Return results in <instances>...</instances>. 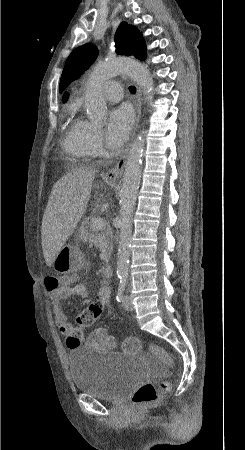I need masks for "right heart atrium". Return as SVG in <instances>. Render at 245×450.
<instances>
[{"instance_id":"obj_1","label":"right heart atrium","mask_w":245,"mask_h":450,"mask_svg":"<svg viewBox=\"0 0 245 450\" xmlns=\"http://www.w3.org/2000/svg\"><path fill=\"white\" fill-rule=\"evenodd\" d=\"M84 148L87 155H98L103 151L101 132L90 122L83 121Z\"/></svg>"}]
</instances>
